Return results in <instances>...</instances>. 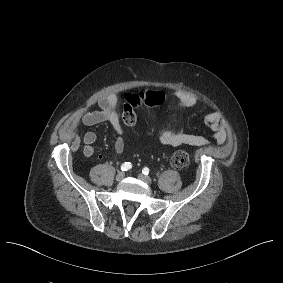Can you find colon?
<instances>
[{"label":"colon","mask_w":283,"mask_h":283,"mask_svg":"<svg viewBox=\"0 0 283 283\" xmlns=\"http://www.w3.org/2000/svg\"><path fill=\"white\" fill-rule=\"evenodd\" d=\"M164 94L157 90H145L138 93H128L126 103L123 107L122 121L125 126H132L136 123V108L145 105L155 107L163 103ZM190 157L186 150L180 149L174 152L171 158V164L175 168H184L189 164Z\"/></svg>","instance_id":"colon-1"}]
</instances>
